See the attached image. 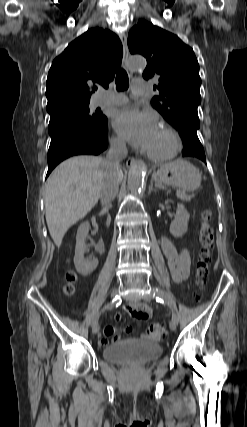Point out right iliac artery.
<instances>
[{"label": "right iliac artery", "mask_w": 247, "mask_h": 427, "mask_svg": "<svg viewBox=\"0 0 247 427\" xmlns=\"http://www.w3.org/2000/svg\"><path fill=\"white\" fill-rule=\"evenodd\" d=\"M121 304V299H120V297H118V296H116L113 300H112V302L111 303H108L107 305H105L103 308H102V310L100 311V312H98L96 315H95V317L93 318V322H92V324L95 322V321H97L98 320V318H99V315H100V313L101 312H103V311H105V310H107V309H112L113 307H118L119 305Z\"/></svg>", "instance_id": "82829eb1"}]
</instances>
